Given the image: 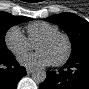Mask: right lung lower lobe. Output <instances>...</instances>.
<instances>
[{
    "label": "right lung lower lobe",
    "mask_w": 89,
    "mask_h": 89,
    "mask_svg": "<svg viewBox=\"0 0 89 89\" xmlns=\"http://www.w3.org/2000/svg\"><path fill=\"white\" fill-rule=\"evenodd\" d=\"M25 75V68L19 66L10 51L0 54V89H15Z\"/></svg>",
    "instance_id": "98d812e1"
}]
</instances>
